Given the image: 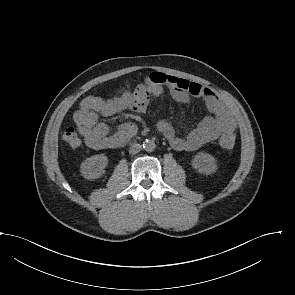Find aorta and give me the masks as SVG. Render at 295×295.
<instances>
[{
    "mask_svg": "<svg viewBox=\"0 0 295 295\" xmlns=\"http://www.w3.org/2000/svg\"><path fill=\"white\" fill-rule=\"evenodd\" d=\"M156 145L152 140H145L143 142V148L147 152H152L155 149Z\"/></svg>",
    "mask_w": 295,
    "mask_h": 295,
    "instance_id": "1",
    "label": "aorta"
}]
</instances>
